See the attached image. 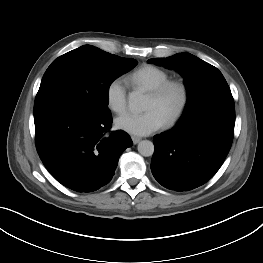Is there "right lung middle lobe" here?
Instances as JSON below:
<instances>
[{
  "label": "right lung middle lobe",
  "mask_w": 263,
  "mask_h": 263,
  "mask_svg": "<svg viewBox=\"0 0 263 263\" xmlns=\"http://www.w3.org/2000/svg\"><path fill=\"white\" fill-rule=\"evenodd\" d=\"M137 64L92 45L72 50L52 62L35 98L34 115L56 108H74L97 116L110 115L111 83Z\"/></svg>",
  "instance_id": "dd1d6c3e"
}]
</instances>
